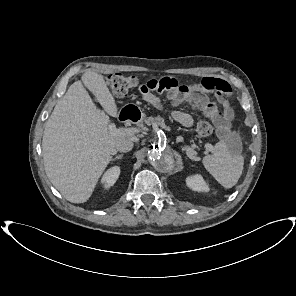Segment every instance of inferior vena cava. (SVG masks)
Wrapping results in <instances>:
<instances>
[{
	"mask_svg": "<svg viewBox=\"0 0 296 296\" xmlns=\"http://www.w3.org/2000/svg\"><path fill=\"white\" fill-rule=\"evenodd\" d=\"M133 148V141L131 139H119L115 143V149L119 152H129Z\"/></svg>",
	"mask_w": 296,
	"mask_h": 296,
	"instance_id": "inferior-vena-cava-1",
	"label": "inferior vena cava"
}]
</instances>
